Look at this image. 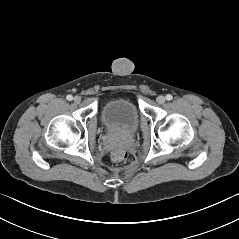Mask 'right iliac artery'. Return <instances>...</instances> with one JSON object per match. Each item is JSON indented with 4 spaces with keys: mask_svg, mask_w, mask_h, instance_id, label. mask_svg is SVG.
<instances>
[{
    "mask_svg": "<svg viewBox=\"0 0 239 239\" xmlns=\"http://www.w3.org/2000/svg\"><path fill=\"white\" fill-rule=\"evenodd\" d=\"M66 99H67L68 101H71V100L73 99V97H72V95H67Z\"/></svg>",
    "mask_w": 239,
    "mask_h": 239,
    "instance_id": "82829eb1",
    "label": "right iliac artery"
}]
</instances>
